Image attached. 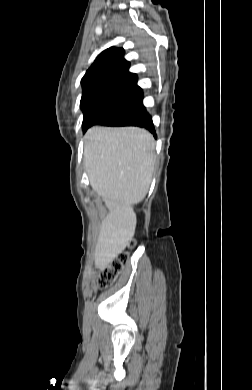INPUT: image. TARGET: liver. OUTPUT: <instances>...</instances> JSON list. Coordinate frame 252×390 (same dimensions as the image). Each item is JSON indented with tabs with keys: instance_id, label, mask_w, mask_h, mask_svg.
<instances>
[{
	"instance_id": "6515ba94",
	"label": "liver",
	"mask_w": 252,
	"mask_h": 390,
	"mask_svg": "<svg viewBox=\"0 0 252 390\" xmlns=\"http://www.w3.org/2000/svg\"><path fill=\"white\" fill-rule=\"evenodd\" d=\"M155 141L137 127L94 126L85 135L84 157L92 189L109 213L102 220L94 252L95 266L106 267L132 239V206L146 196L155 168Z\"/></svg>"
}]
</instances>
